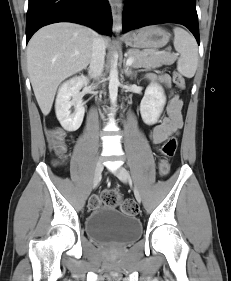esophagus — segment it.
Returning a JSON list of instances; mask_svg holds the SVG:
<instances>
[{
	"label": "esophagus",
	"instance_id": "obj_1",
	"mask_svg": "<svg viewBox=\"0 0 231 281\" xmlns=\"http://www.w3.org/2000/svg\"><path fill=\"white\" fill-rule=\"evenodd\" d=\"M109 3L113 16V30L119 31L122 28L121 25L122 2L121 0H109Z\"/></svg>",
	"mask_w": 231,
	"mask_h": 281
}]
</instances>
